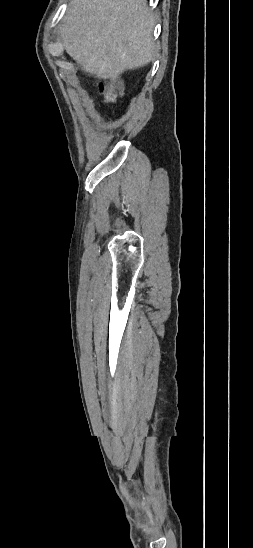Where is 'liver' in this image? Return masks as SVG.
<instances>
[{
    "mask_svg": "<svg viewBox=\"0 0 253 548\" xmlns=\"http://www.w3.org/2000/svg\"><path fill=\"white\" fill-rule=\"evenodd\" d=\"M154 26L146 0H72L61 38L85 72L116 79L153 60Z\"/></svg>",
    "mask_w": 253,
    "mask_h": 548,
    "instance_id": "1",
    "label": "liver"
}]
</instances>
